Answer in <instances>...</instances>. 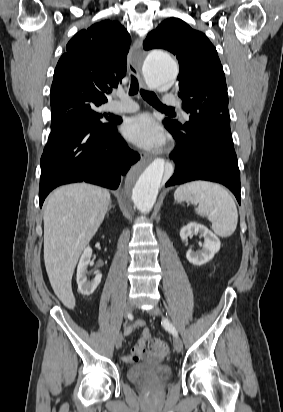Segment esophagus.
Instances as JSON below:
<instances>
[{
  "instance_id": "34e87169",
  "label": "esophagus",
  "mask_w": 283,
  "mask_h": 412,
  "mask_svg": "<svg viewBox=\"0 0 283 412\" xmlns=\"http://www.w3.org/2000/svg\"><path fill=\"white\" fill-rule=\"evenodd\" d=\"M141 47H142V39L137 38L133 46L130 49L127 65H128L129 72L133 74L134 76L138 77L141 81L142 86L146 88V85L143 82L142 77H141L142 60L138 58L136 55L140 51Z\"/></svg>"
}]
</instances>
